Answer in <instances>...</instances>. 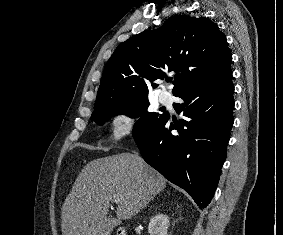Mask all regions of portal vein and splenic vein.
I'll return each mask as SVG.
<instances>
[{
    "mask_svg": "<svg viewBox=\"0 0 283 235\" xmlns=\"http://www.w3.org/2000/svg\"><path fill=\"white\" fill-rule=\"evenodd\" d=\"M112 201L115 202V203H118L120 201V199L118 197H114Z\"/></svg>",
    "mask_w": 283,
    "mask_h": 235,
    "instance_id": "18ae733b",
    "label": "portal vein and splenic vein"
}]
</instances>
